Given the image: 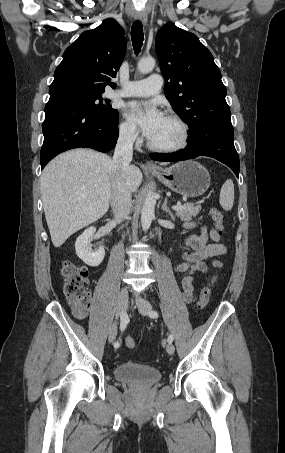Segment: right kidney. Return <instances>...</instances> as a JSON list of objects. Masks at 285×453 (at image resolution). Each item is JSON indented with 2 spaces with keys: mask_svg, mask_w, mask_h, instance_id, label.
I'll use <instances>...</instances> for the list:
<instances>
[{
  "mask_svg": "<svg viewBox=\"0 0 285 453\" xmlns=\"http://www.w3.org/2000/svg\"><path fill=\"white\" fill-rule=\"evenodd\" d=\"M96 228L91 226L78 236L75 242L77 256L88 266H99L105 256V250L100 247L97 251H92L90 241L94 237Z\"/></svg>",
  "mask_w": 285,
  "mask_h": 453,
  "instance_id": "obj_1",
  "label": "right kidney"
}]
</instances>
